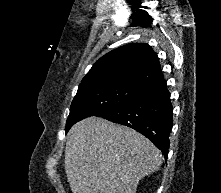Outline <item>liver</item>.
<instances>
[{"label": "liver", "instance_id": "6515ba94", "mask_svg": "<svg viewBox=\"0 0 221 193\" xmlns=\"http://www.w3.org/2000/svg\"><path fill=\"white\" fill-rule=\"evenodd\" d=\"M161 163L145 136L103 118L81 120L67 134L65 172L73 193H136Z\"/></svg>", "mask_w": 221, "mask_h": 193}]
</instances>
